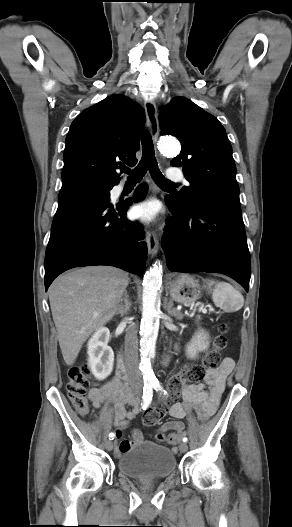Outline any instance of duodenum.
Returning <instances> with one entry per match:
<instances>
[{"label":"duodenum","instance_id":"duodenum-1","mask_svg":"<svg viewBox=\"0 0 292 527\" xmlns=\"http://www.w3.org/2000/svg\"><path fill=\"white\" fill-rule=\"evenodd\" d=\"M117 376L125 383L128 381L125 365H124V362H123V359H122L121 356H119V358H118Z\"/></svg>","mask_w":292,"mask_h":527}]
</instances>
